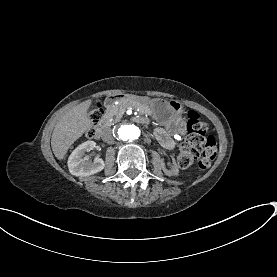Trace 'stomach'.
Segmentation results:
<instances>
[{
    "label": "stomach",
    "instance_id": "0dacf381",
    "mask_svg": "<svg viewBox=\"0 0 277 277\" xmlns=\"http://www.w3.org/2000/svg\"><path fill=\"white\" fill-rule=\"evenodd\" d=\"M144 101V100H143ZM156 120L173 132L182 130L185 125L182 114L183 106L176 100L153 99L145 100Z\"/></svg>",
    "mask_w": 277,
    "mask_h": 277
}]
</instances>
